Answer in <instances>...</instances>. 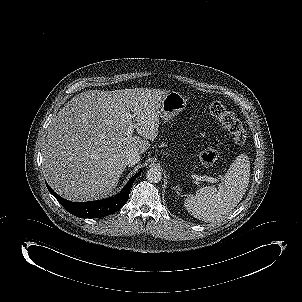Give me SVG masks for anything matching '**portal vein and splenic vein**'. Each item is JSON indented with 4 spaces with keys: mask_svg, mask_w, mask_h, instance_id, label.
I'll list each match as a JSON object with an SVG mask.
<instances>
[{
    "mask_svg": "<svg viewBox=\"0 0 302 302\" xmlns=\"http://www.w3.org/2000/svg\"><path fill=\"white\" fill-rule=\"evenodd\" d=\"M128 121L130 122L129 127L126 131V135H131L134 131V124L132 122V116L130 113L127 115ZM192 178L196 181H203V182H210V183H217V180L213 177H209L207 175L199 176V175H193Z\"/></svg>",
    "mask_w": 302,
    "mask_h": 302,
    "instance_id": "18ae733b",
    "label": "portal vein and splenic vein"
}]
</instances>
